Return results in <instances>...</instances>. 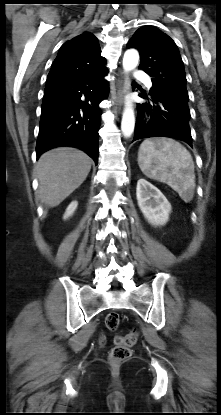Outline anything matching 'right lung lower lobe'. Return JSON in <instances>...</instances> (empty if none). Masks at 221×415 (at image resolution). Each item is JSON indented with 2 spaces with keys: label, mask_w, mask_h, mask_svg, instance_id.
<instances>
[{
  "label": "right lung lower lobe",
  "mask_w": 221,
  "mask_h": 415,
  "mask_svg": "<svg viewBox=\"0 0 221 415\" xmlns=\"http://www.w3.org/2000/svg\"><path fill=\"white\" fill-rule=\"evenodd\" d=\"M107 70L92 76L46 83L44 90L37 158L58 146H72L98 161L99 103L108 95Z\"/></svg>",
  "instance_id": "98d812e1"
}]
</instances>
